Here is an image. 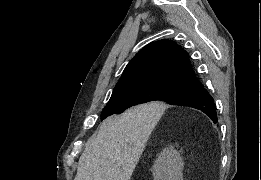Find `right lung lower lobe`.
Masks as SVG:
<instances>
[{
    "label": "right lung lower lobe",
    "mask_w": 261,
    "mask_h": 180,
    "mask_svg": "<svg viewBox=\"0 0 261 180\" xmlns=\"http://www.w3.org/2000/svg\"><path fill=\"white\" fill-rule=\"evenodd\" d=\"M170 104L184 105L198 109L209 116L214 123L218 121L214 99L204 88L198 93L181 97L172 101Z\"/></svg>",
    "instance_id": "obj_1"
}]
</instances>
